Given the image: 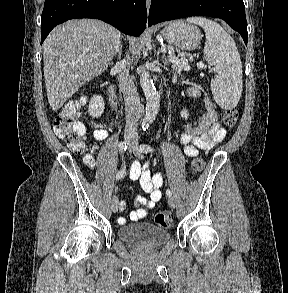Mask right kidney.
<instances>
[{"instance_id": "right-kidney-1", "label": "right kidney", "mask_w": 288, "mask_h": 293, "mask_svg": "<svg viewBox=\"0 0 288 293\" xmlns=\"http://www.w3.org/2000/svg\"><path fill=\"white\" fill-rule=\"evenodd\" d=\"M105 109L104 100L101 96L94 95L89 103L88 112L93 118H98L102 115Z\"/></svg>"}]
</instances>
